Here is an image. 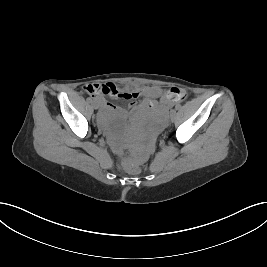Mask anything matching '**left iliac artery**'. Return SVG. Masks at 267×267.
<instances>
[{"mask_svg": "<svg viewBox=\"0 0 267 267\" xmlns=\"http://www.w3.org/2000/svg\"><path fill=\"white\" fill-rule=\"evenodd\" d=\"M176 111L175 110H171V113H175Z\"/></svg>", "mask_w": 267, "mask_h": 267, "instance_id": "44dca946", "label": "left iliac artery"}]
</instances>
